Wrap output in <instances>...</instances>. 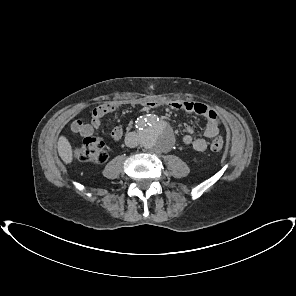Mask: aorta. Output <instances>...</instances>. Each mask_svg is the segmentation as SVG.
<instances>
[{
    "instance_id": "obj_1",
    "label": "aorta",
    "mask_w": 296,
    "mask_h": 296,
    "mask_svg": "<svg viewBox=\"0 0 296 296\" xmlns=\"http://www.w3.org/2000/svg\"><path fill=\"white\" fill-rule=\"evenodd\" d=\"M139 140L148 150L164 153L174 144V133L171 127L155 115L141 117L137 121Z\"/></svg>"
}]
</instances>
